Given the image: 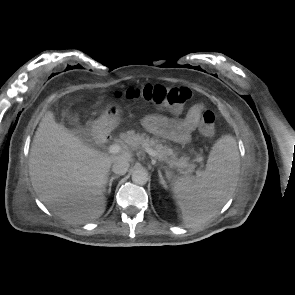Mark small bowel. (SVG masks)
I'll list each match as a JSON object with an SVG mask.
<instances>
[{"label": "small bowel", "instance_id": "obj_1", "mask_svg": "<svg viewBox=\"0 0 295 295\" xmlns=\"http://www.w3.org/2000/svg\"><path fill=\"white\" fill-rule=\"evenodd\" d=\"M204 106L193 105L182 119H170L161 115H148L143 119V124L150 132L172 140L177 143H186L192 132L197 127Z\"/></svg>", "mask_w": 295, "mask_h": 295}]
</instances>
